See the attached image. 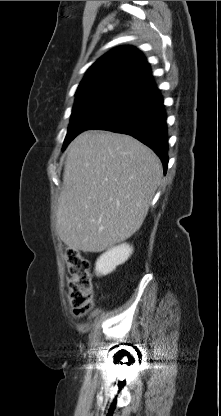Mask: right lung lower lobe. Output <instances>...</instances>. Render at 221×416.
<instances>
[{"label":"right lung lower lobe","instance_id":"obj_1","mask_svg":"<svg viewBox=\"0 0 221 416\" xmlns=\"http://www.w3.org/2000/svg\"><path fill=\"white\" fill-rule=\"evenodd\" d=\"M92 129L109 130L135 137L159 156L166 173L168 165L166 113L163 98L155 86L125 97Z\"/></svg>","mask_w":221,"mask_h":416}]
</instances>
